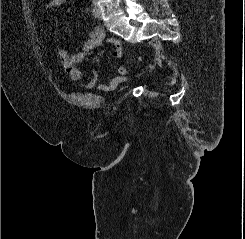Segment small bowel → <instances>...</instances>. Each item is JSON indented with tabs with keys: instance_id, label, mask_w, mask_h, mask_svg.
I'll use <instances>...</instances> for the list:
<instances>
[{
	"instance_id": "1",
	"label": "small bowel",
	"mask_w": 245,
	"mask_h": 239,
	"mask_svg": "<svg viewBox=\"0 0 245 239\" xmlns=\"http://www.w3.org/2000/svg\"><path fill=\"white\" fill-rule=\"evenodd\" d=\"M67 0H49L45 4L47 10H55L63 6ZM104 41L110 43L113 46V54L117 59H121L123 56V50L120 42L115 38L105 39V34L102 28L93 24L88 30L87 39L81 44L78 52L69 55L65 50L59 49L58 56L62 61L63 69L70 76L73 81L81 82L83 80V72L78 68V64L81 63L86 56ZM117 74L105 84L98 85L99 74L97 71H92L90 78L83 82L82 85L87 89L98 88L102 92L114 91L120 84L126 81L127 68L122 63L116 65Z\"/></svg>"
}]
</instances>
